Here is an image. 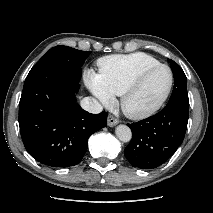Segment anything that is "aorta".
Returning <instances> with one entry per match:
<instances>
[{
	"instance_id": "762f6f07",
	"label": "aorta",
	"mask_w": 213,
	"mask_h": 213,
	"mask_svg": "<svg viewBox=\"0 0 213 213\" xmlns=\"http://www.w3.org/2000/svg\"><path fill=\"white\" fill-rule=\"evenodd\" d=\"M117 138L122 142H129L132 139L131 129L126 125H119L115 130Z\"/></svg>"
}]
</instances>
